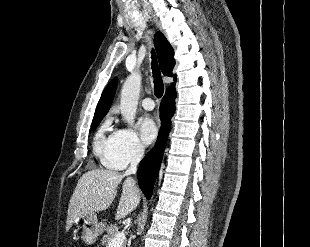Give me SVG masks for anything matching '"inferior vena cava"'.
I'll list each match as a JSON object with an SVG mask.
<instances>
[{"label": "inferior vena cava", "mask_w": 310, "mask_h": 247, "mask_svg": "<svg viewBox=\"0 0 310 247\" xmlns=\"http://www.w3.org/2000/svg\"><path fill=\"white\" fill-rule=\"evenodd\" d=\"M144 154V148L142 145L137 144L131 157V164L130 167L126 170V175L135 174L137 172V165L139 164L140 160L142 159Z\"/></svg>", "instance_id": "1"}]
</instances>
